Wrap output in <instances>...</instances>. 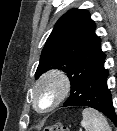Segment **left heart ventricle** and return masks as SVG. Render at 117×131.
<instances>
[{
	"label": "left heart ventricle",
	"instance_id": "1",
	"mask_svg": "<svg viewBox=\"0 0 117 131\" xmlns=\"http://www.w3.org/2000/svg\"><path fill=\"white\" fill-rule=\"evenodd\" d=\"M55 87L52 85H48L39 91L37 95L38 106L40 108L48 107L54 100L55 97Z\"/></svg>",
	"mask_w": 117,
	"mask_h": 131
}]
</instances>
